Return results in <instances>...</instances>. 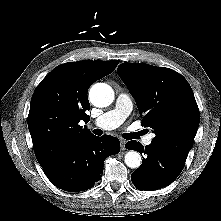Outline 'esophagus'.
Listing matches in <instances>:
<instances>
[{
    "label": "esophagus",
    "mask_w": 221,
    "mask_h": 221,
    "mask_svg": "<svg viewBox=\"0 0 221 221\" xmlns=\"http://www.w3.org/2000/svg\"><path fill=\"white\" fill-rule=\"evenodd\" d=\"M120 143H121V150H125L126 149L125 148L126 141L125 140H121Z\"/></svg>",
    "instance_id": "obj_1"
}]
</instances>
